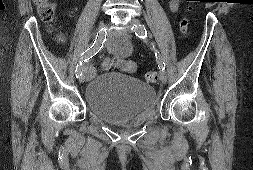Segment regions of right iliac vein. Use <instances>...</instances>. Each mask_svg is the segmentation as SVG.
<instances>
[{
	"instance_id": "right-iliac-vein-1",
	"label": "right iliac vein",
	"mask_w": 253,
	"mask_h": 170,
	"mask_svg": "<svg viewBox=\"0 0 253 170\" xmlns=\"http://www.w3.org/2000/svg\"><path fill=\"white\" fill-rule=\"evenodd\" d=\"M100 26H104V22H101ZM91 76H92L91 70L87 65H85L83 69V76L80 79V82L84 83L85 81H88L91 78Z\"/></svg>"
}]
</instances>
